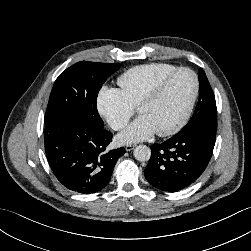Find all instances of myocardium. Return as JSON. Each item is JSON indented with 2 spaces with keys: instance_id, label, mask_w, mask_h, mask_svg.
<instances>
[{
  "instance_id": "obj_1",
  "label": "myocardium",
  "mask_w": 251,
  "mask_h": 251,
  "mask_svg": "<svg viewBox=\"0 0 251 251\" xmlns=\"http://www.w3.org/2000/svg\"><path fill=\"white\" fill-rule=\"evenodd\" d=\"M189 73L193 79H194V91L192 94V97L190 99V102L183 114V116L181 117V119L171 128L164 130V131H156V134L159 137H168V136H172L174 134H176L177 132H179L189 121L192 112L194 110L196 101L198 99V95H199V91H200V82H199V78L198 75L191 69L186 68V67H181L178 68L176 70H174L173 72L169 73L168 75H166L164 78H162L160 81H158L148 92L147 94L140 100V102L137 105V111L139 113V110L146 106L149 105L151 103H153L159 96L160 94L163 92V90L165 89V87L168 85V83L178 74L180 73Z\"/></svg>"
}]
</instances>
